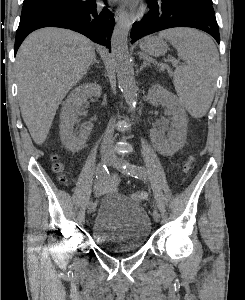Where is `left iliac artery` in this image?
<instances>
[{
	"instance_id": "44dca946",
	"label": "left iliac artery",
	"mask_w": 245,
	"mask_h": 300,
	"mask_svg": "<svg viewBox=\"0 0 245 300\" xmlns=\"http://www.w3.org/2000/svg\"><path fill=\"white\" fill-rule=\"evenodd\" d=\"M123 169L127 170V166L124 165ZM130 172H131V176L137 179H142L143 177H146V170L141 166L132 165Z\"/></svg>"
}]
</instances>
